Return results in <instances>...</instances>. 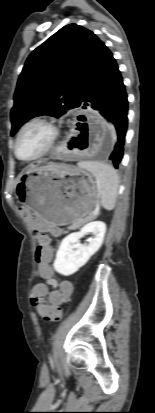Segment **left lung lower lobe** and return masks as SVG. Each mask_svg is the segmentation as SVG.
I'll return each instance as SVG.
<instances>
[{
	"label": "left lung lower lobe",
	"instance_id": "left-lung-lower-lobe-1",
	"mask_svg": "<svg viewBox=\"0 0 155 413\" xmlns=\"http://www.w3.org/2000/svg\"><path fill=\"white\" fill-rule=\"evenodd\" d=\"M80 106L97 110L114 125L118 140L109 159L117 169L124 152L128 102L118 65L109 50L91 77Z\"/></svg>",
	"mask_w": 155,
	"mask_h": 413
}]
</instances>
